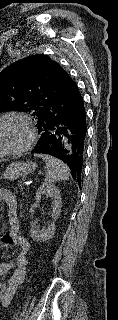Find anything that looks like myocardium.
<instances>
[{
	"instance_id": "f54148a6",
	"label": "myocardium",
	"mask_w": 118,
	"mask_h": 320,
	"mask_svg": "<svg viewBox=\"0 0 118 320\" xmlns=\"http://www.w3.org/2000/svg\"><path fill=\"white\" fill-rule=\"evenodd\" d=\"M11 125L17 127L16 139L6 148L0 146V155L23 152L34 140L33 129L24 117L9 115L0 118V128Z\"/></svg>"
}]
</instances>
